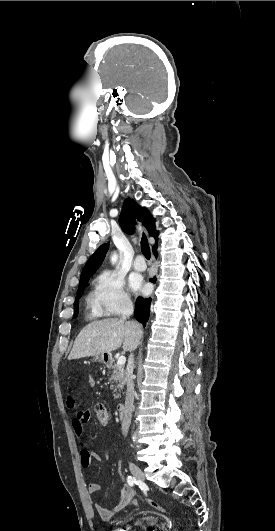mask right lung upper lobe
<instances>
[{"label":"right lung upper lobe","instance_id":"right-lung-upper-lobe-1","mask_svg":"<svg viewBox=\"0 0 275 531\" xmlns=\"http://www.w3.org/2000/svg\"><path fill=\"white\" fill-rule=\"evenodd\" d=\"M135 220H137L145 230L155 238L157 245L158 232L155 231V219L148 209L141 207L133 199L127 198L119 217L120 226L127 233H133ZM108 249L109 244H103L89 258L81 273L79 286L88 281L89 277L94 274L96 269L101 265Z\"/></svg>","mask_w":275,"mask_h":531}]
</instances>
